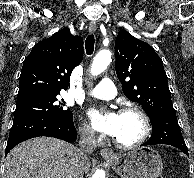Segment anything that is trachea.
I'll return each mask as SVG.
<instances>
[{
	"instance_id": "obj_1",
	"label": "trachea",
	"mask_w": 194,
	"mask_h": 178,
	"mask_svg": "<svg viewBox=\"0 0 194 178\" xmlns=\"http://www.w3.org/2000/svg\"><path fill=\"white\" fill-rule=\"evenodd\" d=\"M94 43H95V38H94V35L91 34L86 38V41H85V49L88 55H92L94 51Z\"/></svg>"
}]
</instances>
